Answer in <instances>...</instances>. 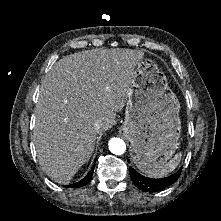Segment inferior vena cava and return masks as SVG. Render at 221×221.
Returning <instances> with one entry per match:
<instances>
[{
  "label": "inferior vena cava",
  "instance_id": "602c4592",
  "mask_svg": "<svg viewBox=\"0 0 221 221\" xmlns=\"http://www.w3.org/2000/svg\"><path fill=\"white\" fill-rule=\"evenodd\" d=\"M101 126H102V123H101L100 121H97V122H95V124H94V129H95L96 131H98V130L101 128Z\"/></svg>",
  "mask_w": 221,
  "mask_h": 221
}]
</instances>
